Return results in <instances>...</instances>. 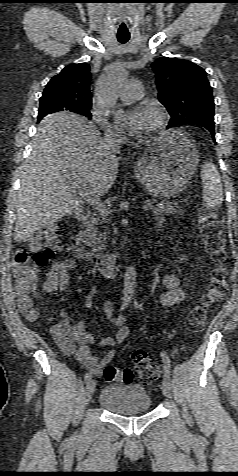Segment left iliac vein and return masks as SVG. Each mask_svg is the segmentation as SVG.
<instances>
[{
    "label": "left iliac vein",
    "mask_w": 238,
    "mask_h": 476,
    "mask_svg": "<svg viewBox=\"0 0 238 476\" xmlns=\"http://www.w3.org/2000/svg\"><path fill=\"white\" fill-rule=\"evenodd\" d=\"M161 389H162L163 394L167 398H169V399L172 398V387L166 380L162 381Z\"/></svg>",
    "instance_id": "left-iliac-vein-1"
}]
</instances>
